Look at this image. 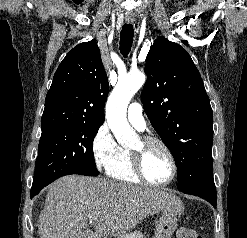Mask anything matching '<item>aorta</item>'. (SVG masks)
<instances>
[{
	"mask_svg": "<svg viewBox=\"0 0 247 238\" xmlns=\"http://www.w3.org/2000/svg\"><path fill=\"white\" fill-rule=\"evenodd\" d=\"M146 77L143 73H130L118 80L106 104L107 123L117 142L129 144L136 133L127 121L126 112L133 95L144 85Z\"/></svg>",
	"mask_w": 247,
	"mask_h": 238,
	"instance_id": "obj_1",
	"label": "aorta"
}]
</instances>
